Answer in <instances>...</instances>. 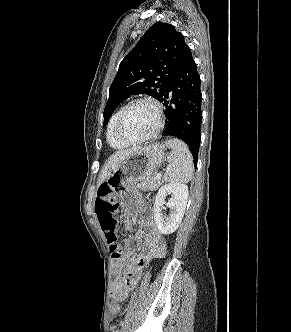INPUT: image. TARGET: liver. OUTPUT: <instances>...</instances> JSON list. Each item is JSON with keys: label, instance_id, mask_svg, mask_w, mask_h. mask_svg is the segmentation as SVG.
Instances as JSON below:
<instances>
[{"label": "liver", "instance_id": "1", "mask_svg": "<svg viewBox=\"0 0 291 332\" xmlns=\"http://www.w3.org/2000/svg\"><path fill=\"white\" fill-rule=\"evenodd\" d=\"M141 147H133L126 150H120L112 154L108 160L106 161L105 165L103 166L99 179H98V185H101L110 175V173L119 167L121 162L126 159L130 154L137 151Z\"/></svg>", "mask_w": 291, "mask_h": 332}]
</instances>
